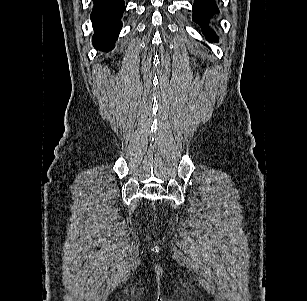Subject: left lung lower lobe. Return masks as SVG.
Returning a JSON list of instances; mask_svg holds the SVG:
<instances>
[{"instance_id": "1", "label": "left lung lower lobe", "mask_w": 307, "mask_h": 301, "mask_svg": "<svg viewBox=\"0 0 307 301\" xmlns=\"http://www.w3.org/2000/svg\"><path fill=\"white\" fill-rule=\"evenodd\" d=\"M219 13L215 0H195L193 4V20L200 25L207 39L217 42L215 32L207 26L209 19Z\"/></svg>"}]
</instances>
